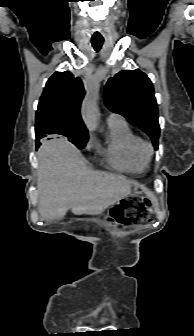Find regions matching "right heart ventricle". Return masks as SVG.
Returning <instances> with one entry per match:
<instances>
[{"instance_id": "right-heart-ventricle-1", "label": "right heart ventricle", "mask_w": 194, "mask_h": 336, "mask_svg": "<svg viewBox=\"0 0 194 336\" xmlns=\"http://www.w3.org/2000/svg\"><path fill=\"white\" fill-rule=\"evenodd\" d=\"M141 141L126 122L109 126L108 139L106 145L100 147V153L113 168L139 173L148 163L141 151Z\"/></svg>"}]
</instances>
